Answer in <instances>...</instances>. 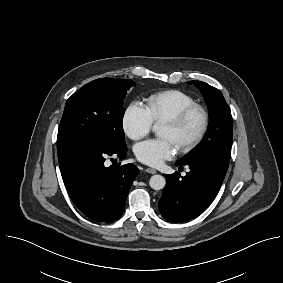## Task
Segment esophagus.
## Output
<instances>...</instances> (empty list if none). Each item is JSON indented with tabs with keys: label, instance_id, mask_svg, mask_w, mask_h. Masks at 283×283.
Masks as SVG:
<instances>
[{
	"label": "esophagus",
	"instance_id": "34e87169",
	"mask_svg": "<svg viewBox=\"0 0 283 283\" xmlns=\"http://www.w3.org/2000/svg\"><path fill=\"white\" fill-rule=\"evenodd\" d=\"M146 172H147V173H150V174H155V173H157V171H156L155 169H153V168H146Z\"/></svg>",
	"mask_w": 283,
	"mask_h": 283
}]
</instances>
